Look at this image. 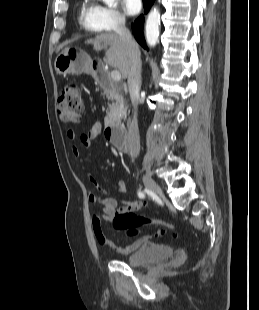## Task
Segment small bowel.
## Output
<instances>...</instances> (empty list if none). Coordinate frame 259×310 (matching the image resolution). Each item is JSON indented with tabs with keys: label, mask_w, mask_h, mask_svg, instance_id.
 <instances>
[{
	"label": "small bowel",
	"mask_w": 259,
	"mask_h": 310,
	"mask_svg": "<svg viewBox=\"0 0 259 310\" xmlns=\"http://www.w3.org/2000/svg\"><path fill=\"white\" fill-rule=\"evenodd\" d=\"M102 127L100 123L96 122L94 123L91 128L85 132L82 133L79 136V143L84 148H90L93 142L101 135ZM66 136L68 140L74 141L76 139V134L72 129L67 130ZM72 154L75 157L81 158V150L80 147L76 144L72 145L71 148ZM89 179L91 183L96 187L100 188V184L98 180L95 178V176L89 171L88 172ZM126 190V183L124 181H119L116 185V192L117 194H122ZM88 202L91 205L101 204L102 210L101 212H93L91 215V223H92V229L94 232V235L96 237L97 242L102 247L111 249L112 251L121 254V255H130L133 252H135L140 247L147 245L150 243V237L149 236H143L137 240H135L133 243L128 245H118L108 239L104 233L103 230V224L105 222H111L114 218V216L120 212L124 211H138L142 209L146 202L144 200L139 201H133V202H127L126 206L122 209H118L117 207V201L115 198L107 196L102 197L97 193H90L88 195Z\"/></svg>",
	"instance_id": "c3829d8e"
}]
</instances>
